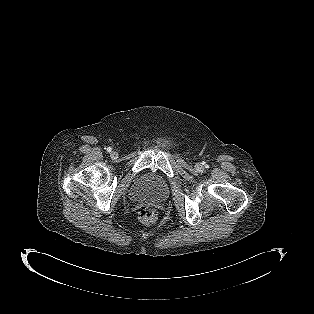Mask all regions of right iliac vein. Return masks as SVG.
Wrapping results in <instances>:
<instances>
[{"mask_svg":"<svg viewBox=\"0 0 314 314\" xmlns=\"http://www.w3.org/2000/svg\"><path fill=\"white\" fill-rule=\"evenodd\" d=\"M110 157H111L112 159H116V158L118 157V153H117L116 151H112V152L110 153Z\"/></svg>","mask_w":314,"mask_h":314,"instance_id":"1","label":"right iliac vein"}]
</instances>
